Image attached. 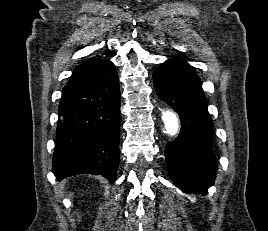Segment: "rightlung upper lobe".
Returning a JSON list of instances; mask_svg holds the SVG:
<instances>
[{"instance_id":"1","label":"right lung upper lobe","mask_w":268,"mask_h":231,"mask_svg":"<svg viewBox=\"0 0 268 231\" xmlns=\"http://www.w3.org/2000/svg\"><path fill=\"white\" fill-rule=\"evenodd\" d=\"M104 61H106V60L100 59V58H92V59H89V60L83 62L82 64H80L79 66H77L75 68V70L70 78L69 83L87 76L93 70H95L97 67H99V65H101V63Z\"/></svg>"}]
</instances>
